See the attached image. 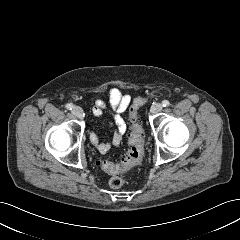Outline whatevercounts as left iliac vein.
<instances>
[{
  "label": "left iliac vein",
  "mask_w": 240,
  "mask_h": 240,
  "mask_svg": "<svg viewBox=\"0 0 240 240\" xmlns=\"http://www.w3.org/2000/svg\"><path fill=\"white\" fill-rule=\"evenodd\" d=\"M161 110H162V104H160V103H155L151 107V113L152 114H156V113L160 112Z\"/></svg>",
  "instance_id": "1"
}]
</instances>
